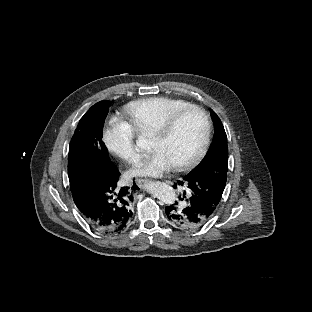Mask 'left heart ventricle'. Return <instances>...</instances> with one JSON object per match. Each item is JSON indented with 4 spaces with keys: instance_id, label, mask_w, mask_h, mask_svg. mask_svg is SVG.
<instances>
[{
    "instance_id": "left-heart-ventricle-1",
    "label": "left heart ventricle",
    "mask_w": 312,
    "mask_h": 312,
    "mask_svg": "<svg viewBox=\"0 0 312 312\" xmlns=\"http://www.w3.org/2000/svg\"><path fill=\"white\" fill-rule=\"evenodd\" d=\"M209 133V121L200 111L187 112L179 116L161 141L167 159L181 164L192 159Z\"/></svg>"
}]
</instances>
